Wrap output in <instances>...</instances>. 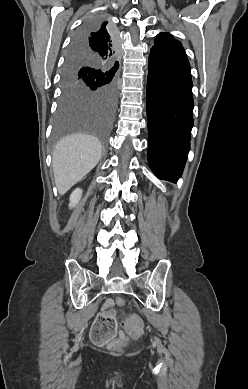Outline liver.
Returning a JSON list of instances; mask_svg holds the SVG:
<instances>
[{
    "instance_id": "liver-1",
    "label": "liver",
    "mask_w": 248,
    "mask_h": 389,
    "mask_svg": "<svg viewBox=\"0 0 248 389\" xmlns=\"http://www.w3.org/2000/svg\"><path fill=\"white\" fill-rule=\"evenodd\" d=\"M102 146L89 134H71L56 144L52 154L55 184L60 195L85 177L99 162Z\"/></svg>"
}]
</instances>
